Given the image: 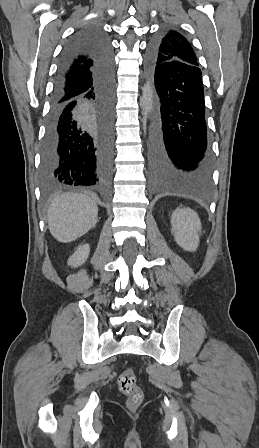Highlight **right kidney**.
<instances>
[{"instance_id": "right-kidney-1", "label": "right kidney", "mask_w": 259, "mask_h": 448, "mask_svg": "<svg viewBox=\"0 0 259 448\" xmlns=\"http://www.w3.org/2000/svg\"><path fill=\"white\" fill-rule=\"evenodd\" d=\"M89 254H90L89 244H84V246H78L73 256H70V258H68L67 262L68 266H72V268H78V266H82V264L86 262Z\"/></svg>"}]
</instances>
